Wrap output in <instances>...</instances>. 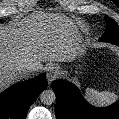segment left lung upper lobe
<instances>
[{
  "mask_svg": "<svg viewBox=\"0 0 119 119\" xmlns=\"http://www.w3.org/2000/svg\"><path fill=\"white\" fill-rule=\"evenodd\" d=\"M105 19L107 24V30L104 33V35L100 38V40L112 43L116 40L119 41V26L113 19L109 17H105Z\"/></svg>",
  "mask_w": 119,
  "mask_h": 119,
  "instance_id": "obj_1",
  "label": "left lung upper lobe"
}]
</instances>
